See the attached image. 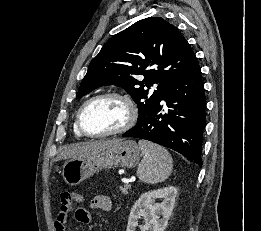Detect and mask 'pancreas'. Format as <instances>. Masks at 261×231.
<instances>
[{
  "instance_id": "pancreas-1",
  "label": "pancreas",
  "mask_w": 261,
  "mask_h": 231,
  "mask_svg": "<svg viewBox=\"0 0 261 231\" xmlns=\"http://www.w3.org/2000/svg\"><path fill=\"white\" fill-rule=\"evenodd\" d=\"M131 188V186H126L124 185V187H119L120 191L122 192V194L127 195L128 194V190Z\"/></svg>"
}]
</instances>
